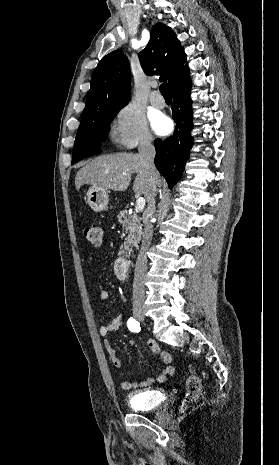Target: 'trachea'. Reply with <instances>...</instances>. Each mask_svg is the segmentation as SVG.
Here are the masks:
<instances>
[{
  "label": "trachea",
  "mask_w": 279,
  "mask_h": 465,
  "mask_svg": "<svg viewBox=\"0 0 279 465\" xmlns=\"http://www.w3.org/2000/svg\"><path fill=\"white\" fill-rule=\"evenodd\" d=\"M160 92L161 94L165 97V96H171V93L169 91V88H168V84L167 82H163L161 85H160Z\"/></svg>",
  "instance_id": "obj_1"
}]
</instances>
